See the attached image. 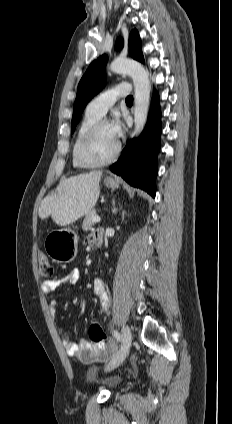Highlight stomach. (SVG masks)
<instances>
[{
	"mask_svg": "<svg viewBox=\"0 0 232 424\" xmlns=\"http://www.w3.org/2000/svg\"><path fill=\"white\" fill-rule=\"evenodd\" d=\"M104 185L111 189L119 187V182L111 177L104 179ZM78 237L71 229H59L50 232L44 242L47 254L56 262L68 263L77 252Z\"/></svg>",
	"mask_w": 232,
	"mask_h": 424,
	"instance_id": "stomach-1",
	"label": "stomach"
}]
</instances>
